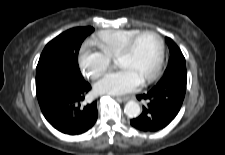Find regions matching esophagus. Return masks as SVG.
<instances>
[{
  "label": "esophagus",
  "instance_id": "1",
  "mask_svg": "<svg viewBox=\"0 0 225 155\" xmlns=\"http://www.w3.org/2000/svg\"><path fill=\"white\" fill-rule=\"evenodd\" d=\"M131 98H132L131 96L117 97V99L122 100V101H128V100H130Z\"/></svg>",
  "mask_w": 225,
  "mask_h": 155
}]
</instances>
